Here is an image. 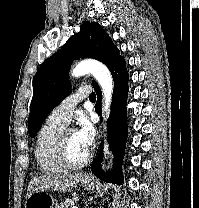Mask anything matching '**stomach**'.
Returning <instances> with one entry per match:
<instances>
[{
  "label": "stomach",
  "instance_id": "1",
  "mask_svg": "<svg viewBox=\"0 0 199 208\" xmlns=\"http://www.w3.org/2000/svg\"><path fill=\"white\" fill-rule=\"evenodd\" d=\"M81 186L85 190H92L94 183L91 180H81ZM54 198L46 190L38 191L28 197L25 201V208H53Z\"/></svg>",
  "mask_w": 199,
  "mask_h": 208
}]
</instances>
